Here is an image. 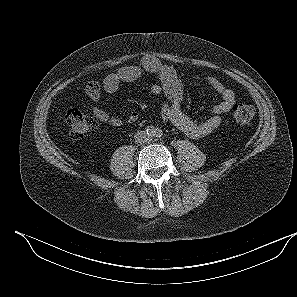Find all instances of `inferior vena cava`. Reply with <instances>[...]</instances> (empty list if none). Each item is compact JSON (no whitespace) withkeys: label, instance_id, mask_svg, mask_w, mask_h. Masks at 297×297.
Listing matches in <instances>:
<instances>
[{"label":"inferior vena cava","instance_id":"1","mask_svg":"<svg viewBox=\"0 0 297 297\" xmlns=\"http://www.w3.org/2000/svg\"><path fill=\"white\" fill-rule=\"evenodd\" d=\"M134 138L138 145H142L150 141V136L145 131L137 132Z\"/></svg>","mask_w":297,"mask_h":297}]
</instances>
